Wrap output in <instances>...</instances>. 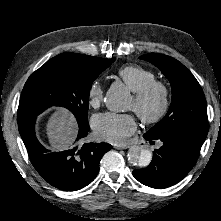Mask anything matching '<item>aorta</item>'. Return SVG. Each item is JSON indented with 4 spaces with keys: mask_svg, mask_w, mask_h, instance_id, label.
Wrapping results in <instances>:
<instances>
[{
    "mask_svg": "<svg viewBox=\"0 0 221 221\" xmlns=\"http://www.w3.org/2000/svg\"><path fill=\"white\" fill-rule=\"evenodd\" d=\"M130 94L123 85H113L105 96L106 107L113 112H123L127 109ZM129 162L137 167H147L152 161V152L149 148L139 145L131 146L127 154Z\"/></svg>",
    "mask_w": 221,
    "mask_h": 221,
    "instance_id": "obj_1",
    "label": "aorta"
}]
</instances>
